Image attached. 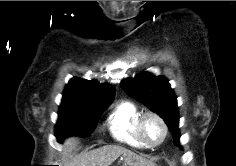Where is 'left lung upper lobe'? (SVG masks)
<instances>
[{
  "label": "left lung upper lobe",
  "mask_w": 236,
  "mask_h": 166,
  "mask_svg": "<svg viewBox=\"0 0 236 166\" xmlns=\"http://www.w3.org/2000/svg\"><path fill=\"white\" fill-rule=\"evenodd\" d=\"M121 85L129 95L158 113L168 127L178 124L176 96L165 77L144 72L134 78L124 79Z\"/></svg>",
  "instance_id": "left-lung-upper-lobe-1"
}]
</instances>
